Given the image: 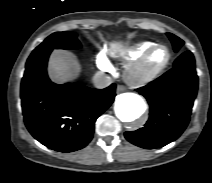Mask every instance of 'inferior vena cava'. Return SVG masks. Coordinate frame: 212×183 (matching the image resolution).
<instances>
[{
  "instance_id": "obj_1",
  "label": "inferior vena cava",
  "mask_w": 212,
  "mask_h": 183,
  "mask_svg": "<svg viewBox=\"0 0 212 183\" xmlns=\"http://www.w3.org/2000/svg\"><path fill=\"white\" fill-rule=\"evenodd\" d=\"M93 83L96 88H106L112 83V79L103 72H97L93 77Z\"/></svg>"
}]
</instances>
